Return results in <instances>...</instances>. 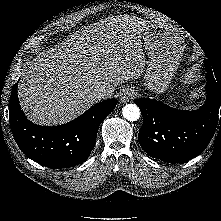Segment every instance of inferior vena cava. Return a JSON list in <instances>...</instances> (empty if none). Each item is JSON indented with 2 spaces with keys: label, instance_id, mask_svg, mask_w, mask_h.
Returning a JSON list of instances; mask_svg holds the SVG:
<instances>
[{
  "label": "inferior vena cava",
  "instance_id": "obj_1",
  "mask_svg": "<svg viewBox=\"0 0 221 221\" xmlns=\"http://www.w3.org/2000/svg\"><path fill=\"white\" fill-rule=\"evenodd\" d=\"M91 96L95 100L100 101L102 99L109 98V93L105 89H97L91 93Z\"/></svg>",
  "mask_w": 221,
  "mask_h": 221
}]
</instances>
